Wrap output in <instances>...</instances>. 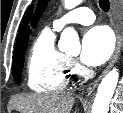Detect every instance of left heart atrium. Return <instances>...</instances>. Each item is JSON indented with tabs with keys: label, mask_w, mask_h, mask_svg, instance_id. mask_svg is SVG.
<instances>
[{
	"label": "left heart atrium",
	"mask_w": 123,
	"mask_h": 113,
	"mask_svg": "<svg viewBox=\"0 0 123 113\" xmlns=\"http://www.w3.org/2000/svg\"><path fill=\"white\" fill-rule=\"evenodd\" d=\"M113 49L110 30L104 26L93 27L83 37L81 61L87 66H98L109 59Z\"/></svg>",
	"instance_id": "1"
}]
</instances>
